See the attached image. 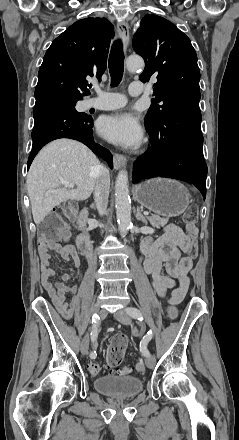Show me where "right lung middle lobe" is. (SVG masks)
<instances>
[{"instance_id": "right-lung-middle-lobe-1", "label": "right lung middle lobe", "mask_w": 239, "mask_h": 440, "mask_svg": "<svg viewBox=\"0 0 239 440\" xmlns=\"http://www.w3.org/2000/svg\"><path fill=\"white\" fill-rule=\"evenodd\" d=\"M55 98H56V99L63 100V101H66V102H69V103H71V104H73V105H75V103H76L78 100L82 99V98H67V97H55Z\"/></svg>"}]
</instances>
